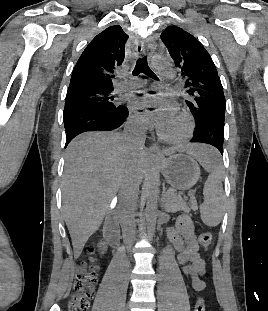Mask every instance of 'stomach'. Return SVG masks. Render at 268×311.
Segmentation results:
<instances>
[{
	"instance_id": "1",
	"label": "stomach",
	"mask_w": 268,
	"mask_h": 311,
	"mask_svg": "<svg viewBox=\"0 0 268 311\" xmlns=\"http://www.w3.org/2000/svg\"><path fill=\"white\" fill-rule=\"evenodd\" d=\"M155 162L167 182L175 190H188L192 188L200 178V168L197 162L189 154L177 151L168 158L157 157Z\"/></svg>"
}]
</instances>
